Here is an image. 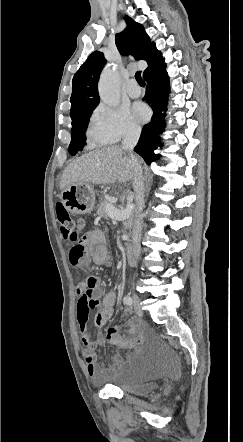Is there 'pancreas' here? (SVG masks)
I'll list each match as a JSON object with an SVG mask.
<instances>
[{"mask_svg":"<svg viewBox=\"0 0 243 442\" xmlns=\"http://www.w3.org/2000/svg\"><path fill=\"white\" fill-rule=\"evenodd\" d=\"M107 206H114L113 202H111L110 200L104 199L100 202V204H98L97 206V214L105 219H108L109 216L106 212V207ZM115 207V206H114ZM127 226L130 227L131 226V221H129L127 223Z\"/></svg>","mask_w":243,"mask_h":442,"instance_id":"1","label":"pancreas"}]
</instances>
